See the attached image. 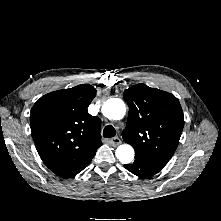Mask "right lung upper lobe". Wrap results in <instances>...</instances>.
Masks as SVG:
<instances>
[{
    "label": "right lung upper lobe",
    "mask_w": 221,
    "mask_h": 221,
    "mask_svg": "<svg viewBox=\"0 0 221 221\" xmlns=\"http://www.w3.org/2000/svg\"><path fill=\"white\" fill-rule=\"evenodd\" d=\"M96 89L81 84L42 96L34 104L30 127L37 151L56 175L71 178L94 157L101 143V121L88 113Z\"/></svg>",
    "instance_id": "1"
}]
</instances>
